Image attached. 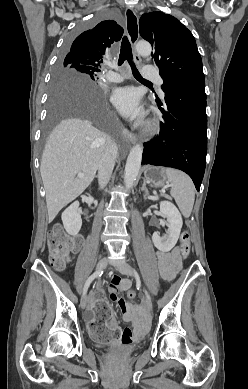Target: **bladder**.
I'll return each mask as SVG.
<instances>
[{
    "label": "bladder",
    "mask_w": 248,
    "mask_h": 389,
    "mask_svg": "<svg viewBox=\"0 0 248 389\" xmlns=\"http://www.w3.org/2000/svg\"><path fill=\"white\" fill-rule=\"evenodd\" d=\"M95 346L101 349L109 348V347H115L114 345L102 343V342H95Z\"/></svg>",
    "instance_id": "obj_1"
}]
</instances>
